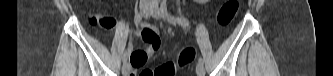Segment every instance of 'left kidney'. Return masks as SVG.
Listing matches in <instances>:
<instances>
[{"mask_svg":"<svg viewBox=\"0 0 333 76\" xmlns=\"http://www.w3.org/2000/svg\"><path fill=\"white\" fill-rule=\"evenodd\" d=\"M201 2H206L207 0H200Z\"/></svg>","mask_w":333,"mask_h":76,"instance_id":"1","label":"left kidney"}]
</instances>
